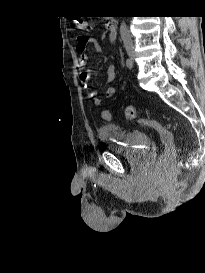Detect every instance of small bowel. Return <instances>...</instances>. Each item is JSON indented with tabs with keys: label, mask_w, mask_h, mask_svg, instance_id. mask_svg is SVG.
<instances>
[{
	"label": "small bowel",
	"mask_w": 205,
	"mask_h": 273,
	"mask_svg": "<svg viewBox=\"0 0 205 273\" xmlns=\"http://www.w3.org/2000/svg\"><path fill=\"white\" fill-rule=\"evenodd\" d=\"M88 44H92L94 49L97 52L102 51L101 46L96 38L87 37L84 35L78 36L75 42V50L78 53L76 65L79 68H83L86 65V62H87L86 46ZM91 77H92V72L90 70L81 71L79 73V80L82 83V85L85 87H87ZM114 78H115V68L114 66H109L106 72L105 80L109 82V81H112ZM116 92H117V89L115 87H109L106 90V97L111 98L115 96ZM89 95H90L91 102L94 106L99 107L102 104V99L96 91H90ZM108 113H109V117H106L104 114V111H102V117L103 119L110 121L112 119V116L110 111H108Z\"/></svg>",
	"instance_id": "small-bowel-1"
}]
</instances>
